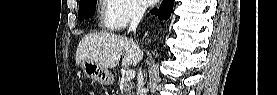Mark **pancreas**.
I'll return each instance as SVG.
<instances>
[{"label":"pancreas","instance_id":"cf45deb5","mask_svg":"<svg viewBox=\"0 0 277 95\" xmlns=\"http://www.w3.org/2000/svg\"><path fill=\"white\" fill-rule=\"evenodd\" d=\"M119 86H120V89L123 92H126L128 94L131 93L132 86H131V84H130L128 79H126V78H120L119 79Z\"/></svg>","mask_w":277,"mask_h":95}]
</instances>
